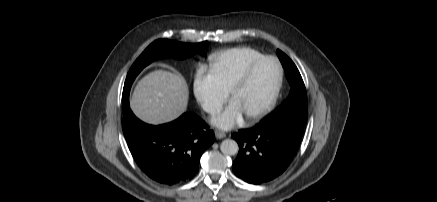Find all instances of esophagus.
<instances>
[{
  "label": "esophagus",
  "mask_w": 437,
  "mask_h": 202,
  "mask_svg": "<svg viewBox=\"0 0 437 202\" xmlns=\"http://www.w3.org/2000/svg\"><path fill=\"white\" fill-rule=\"evenodd\" d=\"M215 137H216L217 139H223V138L226 137V134H225L224 132H221V131L216 130V131H215Z\"/></svg>",
  "instance_id": "esophagus-1"
}]
</instances>
